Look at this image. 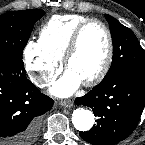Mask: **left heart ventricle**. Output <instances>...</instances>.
I'll list each match as a JSON object with an SVG mask.
<instances>
[{"instance_id": "left-heart-ventricle-1", "label": "left heart ventricle", "mask_w": 145, "mask_h": 145, "mask_svg": "<svg viewBox=\"0 0 145 145\" xmlns=\"http://www.w3.org/2000/svg\"><path fill=\"white\" fill-rule=\"evenodd\" d=\"M107 52V37L96 23L88 25L81 36L79 47L72 57L68 71L81 81L93 76L101 67Z\"/></svg>"}]
</instances>
